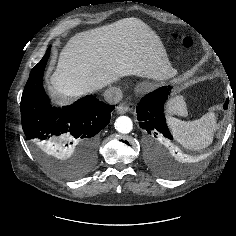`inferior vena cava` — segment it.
Segmentation results:
<instances>
[{
  "label": "inferior vena cava",
  "instance_id": "1",
  "mask_svg": "<svg viewBox=\"0 0 236 236\" xmlns=\"http://www.w3.org/2000/svg\"><path fill=\"white\" fill-rule=\"evenodd\" d=\"M123 97V93L120 88L110 87L104 92V99L111 104L118 103Z\"/></svg>",
  "mask_w": 236,
  "mask_h": 236
}]
</instances>
